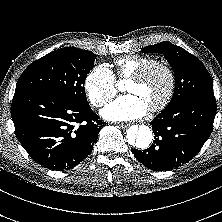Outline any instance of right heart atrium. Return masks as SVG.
<instances>
[{"label":"right heart atrium","mask_w":222,"mask_h":222,"mask_svg":"<svg viewBox=\"0 0 222 222\" xmlns=\"http://www.w3.org/2000/svg\"><path fill=\"white\" fill-rule=\"evenodd\" d=\"M84 88L90 103L95 108H101L116 95L117 81L110 68L105 64H100L88 73Z\"/></svg>","instance_id":"1"}]
</instances>
